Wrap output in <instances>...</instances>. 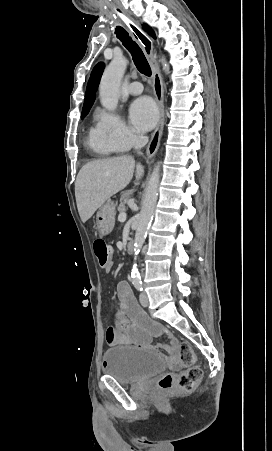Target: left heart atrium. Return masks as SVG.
Segmentation results:
<instances>
[{"instance_id": "1", "label": "left heart atrium", "mask_w": 272, "mask_h": 451, "mask_svg": "<svg viewBox=\"0 0 272 451\" xmlns=\"http://www.w3.org/2000/svg\"><path fill=\"white\" fill-rule=\"evenodd\" d=\"M157 117L154 102L149 98H141L131 106V122L135 129L144 131L151 128Z\"/></svg>"}]
</instances>
